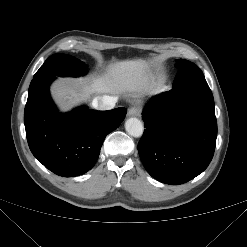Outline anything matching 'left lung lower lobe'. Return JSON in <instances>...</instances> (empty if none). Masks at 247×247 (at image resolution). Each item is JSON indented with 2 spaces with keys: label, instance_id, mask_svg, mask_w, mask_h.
<instances>
[{
  "label": "left lung lower lobe",
  "instance_id": "1",
  "mask_svg": "<svg viewBox=\"0 0 247 247\" xmlns=\"http://www.w3.org/2000/svg\"><path fill=\"white\" fill-rule=\"evenodd\" d=\"M142 119L146 129L138 152L153 178L179 185L207 168L217 137L214 99L208 84L173 87L153 97Z\"/></svg>",
  "mask_w": 247,
  "mask_h": 247
}]
</instances>
